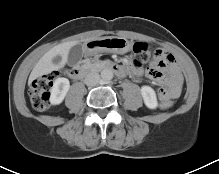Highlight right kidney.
Wrapping results in <instances>:
<instances>
[{
  "instance_id": "obj_1",
  "label": "right kidney",
  "mask_w": 219,
  "mask_h": 174,
  "mask_svg": "<svg viewBox=\"0 0 219 174\" xmlns=\"http://www.w3.org/2000/svg\"><path fill=\"white\" fill-rule=\"evenodd\" d=\"M70 88V82L67 78H57L50 90L49 101L52 105L62 103Z\"/></svg>"
}]
</instances>
